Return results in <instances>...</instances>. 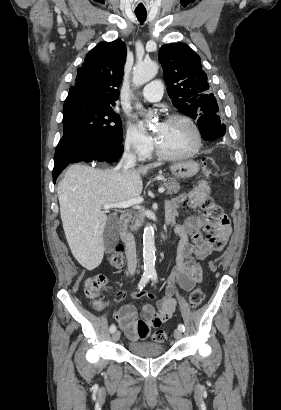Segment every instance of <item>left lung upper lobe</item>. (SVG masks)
<instances>
[{"label": "left lung upper lobe", "mask_w": 281, "mask_h": 410, "mask_svg": "<svg viewBox=\"0 0 281 410\" xmlns=\"http://www.w3.org/2000/svg\"><path fill=\"white\" fill-rule=\"evenodd\" d=\"M159 62L173 105L193 119L218 112L216 98L209 92L200 57L185 43L163 45Z\"/></svg>", "instance_id": "1"}]
</instances>
